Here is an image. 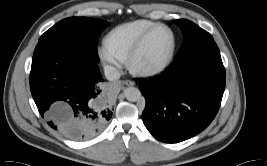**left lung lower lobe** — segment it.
Instances as JSON below:
<instances>
[{
  "label": "left lung lower lobe",
  "mask_w": 267,
  "mask_h": 166,
  "mask_svg": "<svg viewBox=\"0 0 267 166\" xmlns=\"http://www.w3.org/2000/svg\"><path fill=\"white\" fill-rule=\"evenodd\" d=\"M137 83L146 100L144 125L158 140L177 143L199 134L216 116L225 69L216 43H207L175 59L159 77Z\"/></svg>",
  "instance_id": "obj_1"
}]
</instances>
